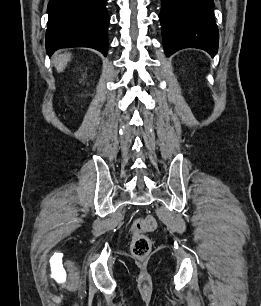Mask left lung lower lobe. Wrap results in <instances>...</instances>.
I'll return each instance as SVG.
<instances>
[{
	"mask_svg": "<svg viewBox=\"0 0 261 306\" xmlns=\"http://www.w3.org/2000/svg\"><path fill=\"white\" fill-rule=\"evenodd\" d=\"M159 19L167 56L182 48L217 53L219 33L213 17V0H161Z\"/></svg>",
	"mask_w": 261,
	"mask_h": 306,
	"instance_id": "0a47b994",
	"label": "left lung lower lobe"
}]
</instances>
